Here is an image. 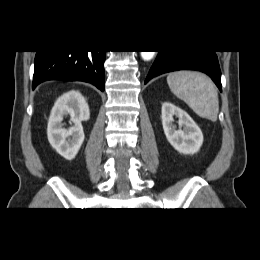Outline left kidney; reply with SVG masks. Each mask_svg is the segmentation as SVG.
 I'll return each mask as SVG.
<instances>
[{
    "mask_svg": "<svg viewBox=\"0 0 260 260\" xmlns=\"http://www.w3.org/2000/svg\"><path fill=\"white\" fill-rule=\"evenodd\" d=\"M162 125L168 142L183 154H195L203 143V134L193 119L182 109L170 102L162 104ZM174 116L178 126L174 125Z\"/></svg>",
    "mask_w": 260,
    "mask_h": 260,
    "instance_id": "1",
    "label": "left kidney"
}]
</instances>
